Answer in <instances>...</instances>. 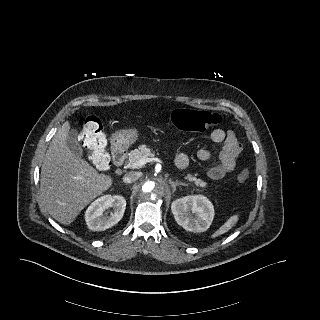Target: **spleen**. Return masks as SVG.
<instances>
[{"mask_svg":"<svg viewBox=\"0 0 320 320\" xmlns=\"http://www.w3.org/2000/svg\"><path fill=\"white\" fill-rule=\"evenodd\" d=\"M238 214H235L227 219V221L212 235L211 238H216L220 235L227 233L238 221Z\"/></svg>","mask_w":320,"mask_h":320,"instance_id":"spleen-1","label":"spleen"}]
</instances>
